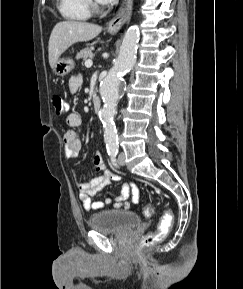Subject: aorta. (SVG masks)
<instances>
[{"label":"aorta","mask_w":243,"mask_h":289,"mask_svg":"<svg viewBox=\"0 0 243 289\" xmlns=\"http://www.w3.org/2000/svg\"><path fill=\"white\" fill-rule=\"evenodd\" d=\"M139 39L138 27H129L123 37L119 56L114 66L100 84V95L103 100L100 119L104 128L106 148L110 153H116L119 148L114 118L117 115L121 80L135 64Z\"/></svg>","instance_id":"762f6f07"}]
</instances>
